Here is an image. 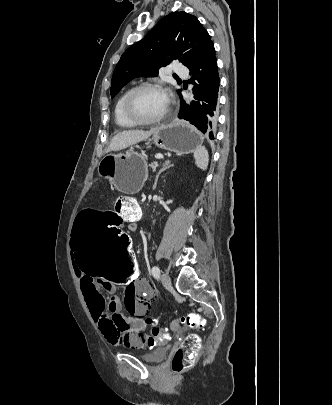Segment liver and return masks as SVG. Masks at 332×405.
<instances>
[{"label": "liver", "mask_w": 332, "mask_h": 405, "mask_svg": "<svg viewBox=\"0 0 332 405\" xmlns=\"http://www.w3.org/2000/svg\"><path fill=\"white\" fill-rule=\"evenodd\" d=\"M158 130V127L151 128L150 130H127L116 134L108 147L109 151H118L125 149L131 145L137 144L143 140L148 139L152 134Z\"/></svg>", "instance_id": "obj_1"}]
</instances>
